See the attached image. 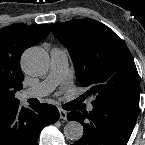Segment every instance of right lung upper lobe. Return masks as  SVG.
I'll use <instances>...</instances> for the list:
<instances>
[{"label":"right lung upper lobe","instance_id":"obj_1","mask_svg":"<svg viewBox=\"0 0 145 145\" xmlns=\"http://www.w3.org/2000/svg\"><path fill=\"white\" fill-rule=\"evenodd\" d=\"M50 32L48 24L20 23L0 29V109L19 103L15 93L22 89L20 58L23 52L42 41Z\"/></svg>","mask_w":145,"mask_h":145}]
</instances>
